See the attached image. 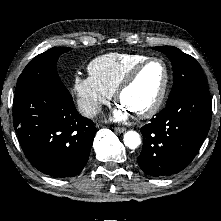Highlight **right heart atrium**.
Returning a JSON list of instances; mask_svg holds the SVG:
<instances>
[{"label": "right heart atrium", "instance_id": "d8ad5b80", "mask_svg": "<svg viewBox=\"0 0 221 221\" xmlns=\"http://www.w3.org/2000/svg\"><path fill=\"white\" fill-rule=\"evenodd\" d=\"M72 90L79 111L88 118L95 117L111 99V94L100 87L90 75L75 76Z\"/></svg>", "mask_w": 221, "mask_h": 221}]
</instances>
